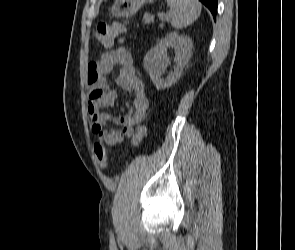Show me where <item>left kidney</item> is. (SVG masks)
Listing matches in <instances>:
<instances>
[{"label": "left kidney", "instance_id": "obj_1", "mask_svg": "<svg viewBox=\"0 0 295 250\" xmlns=\"http://www.w3.org/2000/svg\"><path fill=\"white\" fill-rule=\"evenodd\" d=\"M168 47L175 50L174 62L176 67L166 79H163L161 76L168 64ZM192 47L193 43L190 37L171 32L146 54L143 61L144 68L158 90L169 88L180 77L184 66L191 57Z\"/></svg>", "mask_w": 295, "mask_h": 250}]
</instances>
